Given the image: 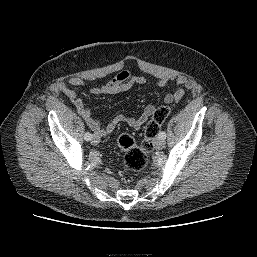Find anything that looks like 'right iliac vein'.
Returning <instances> with one entry per match:
<instances>
[{"mask_svg": "<svg viewBox=\"0 0 257 257\" xmlns=\"http://www.w3.org/2000/svg\"><path fill=\"white\" fill-rule=\"evenodd\" d=\"M99 142H100V138H99V137H97V136L94 135V136L91 138V143H92L93 145H97Z\"/></svg>", "mask_w": 257, "mask_h": 257, "instance_id": "obj_1", "label": "right iliac vein"}]
</instances>
